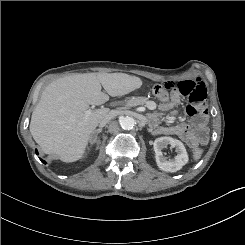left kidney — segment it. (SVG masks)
Instances as JSON below:
<instances>
[{
  "instance_id": "1",
  "label": "left kidney",
  "mask_w": 245,
  "mask_h": 245,
  "mask_svg": "<svg viewBox=\"0 0 245 245\" xmlns=\"http://www.w3.org/2000/svg\"><path fill=\"white\" fill-rule=\"evenodd\" d=\"M167 145L176 147L178 154L175 156L174 159H167L163 155L162 149ZM153 146H154L157 166L165 172H177L185 164H187L189 160L184 144L181 141L174 139L172 137L164 136V137L157 138L154 141Z\"/></svg>"
}]
</instances>
